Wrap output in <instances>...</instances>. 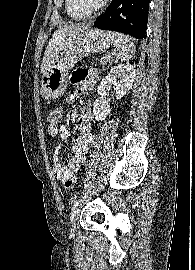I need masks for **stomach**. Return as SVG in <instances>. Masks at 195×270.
I'll return each mask as SVG.
<instances>
[{
    "instance_id": "1",
    "label": "stomach",
    "mask_w": 195,
    "mask_h": 270,
    "mask_svg": "<svg viewBox=\"0 0 195 270\" xmlns=\"http://www.w3.org/2000/svg\"><path fill=\"white\" fill-rule=\"evenodd\" d=\"M111 43L107 32L94 28L68 37L57 59L48 66L42 77V96L47 100L60 97L67 87L69 70L82 58L105 52Z\"/></svg>"
}]
</instances>
